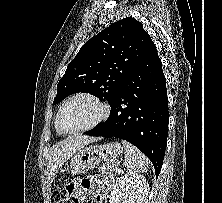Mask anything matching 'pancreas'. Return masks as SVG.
<instances>
[{
  "instance_id": "cf45deb5",
  "label": "pancreas",
  "mask_w": 222,
  "mask_h": 203,
  "mask_svg": "<svg viewBox=\"0 0 222 203\" xmlns=\"http://www.w3.org/2000/svg\"><path fill=\"white\" fill-rule=\"evenodd\" d=\"M118 169V162L116 160H109L98 168L102 175H108L110 178H114Z\"/></svg>"
}]
</instances>
